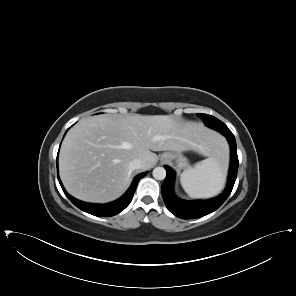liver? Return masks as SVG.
<instances>
[{
	"label": "liver",
	"instance_id": "obj_1",
	"mask_svg": "<svg viewBox=\"0 0 296 296\" xmlns=\"http://www.w3.org/2000/svg\"><path fill=\"white\" fill-rule=\"evenodd\" d=\"M223 140L201 123L169 115H97L84 118L66 134L59 154V174L67 192L91 203H107L127 189L129 163L154 167L152 151H195L212 156Z\"/></svg>",
	"mask_w": 296,
	"mask_h": 296
}]
</instances>
